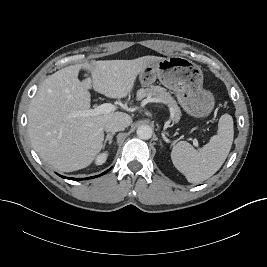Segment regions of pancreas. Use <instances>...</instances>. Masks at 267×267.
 <instances>
[{
  "label": "pancreas",
  "instance_id": "cf45deb5",
  "mask_svg": "<svg viewBox=\"0 0 267 267\" xmlns=\"http://www.w3.org/2000/svg\"><path fill=\"white\" fill-rule=\"evenodd\" d=\"M153 98L164 104H166L171 111V117L174 121H179L181 117L180 108L177 102L173 99L171 94L161 86H151L150 88H142L137 91V100L143 98Z\"/></svg>",
  "mask_w": 267,
  "mask_h": 267
}]
</instances>
